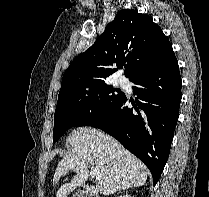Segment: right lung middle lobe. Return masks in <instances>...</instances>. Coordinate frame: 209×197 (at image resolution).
Wrapping results in <instances>:
<instances>
[{
  "instance_id": "dd1d6c3e",
  "label": "right lung middle lobe",
  "mask_w": 209,
  "mask_h": 197,
  "mask_svg": "<svg viewBox=\"0 0 209 197\" xmlns=\"http://www.w3.org/2000/svg\"><path fill=\"white\" fill-rule=\"evenodd\" d=\"M123 95L108 86L106 81L74 84L60 89L54 115L53 142L72 127L88 125Z\"/></svg>"
}]
</instances>
